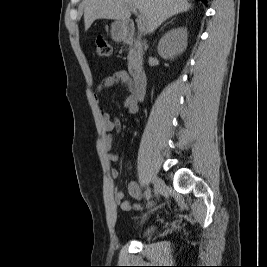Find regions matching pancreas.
<instances>
[{
	"instance_id": "obj_1",
	"label": "pancreas",
	"mask_w": 267,
	"mask_h": 267,
	"mask_svg": "<svg viewBox=\"0 0 267 267\" xmlns=\"http://www.w3.org/2000/svg\"><path fill=\"white\" fill-rule=\"evenodd\" d=\"M129 54H128V71L133 73L142 64L143 49L140 43L136 40H129Z\"/></svg>"
}]
</instances>
